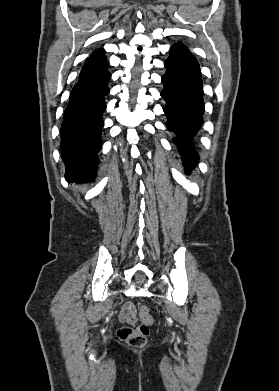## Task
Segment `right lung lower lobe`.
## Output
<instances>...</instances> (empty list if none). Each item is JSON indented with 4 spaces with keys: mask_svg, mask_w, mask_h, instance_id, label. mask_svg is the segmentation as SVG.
Listing matches in <instances>:
<instances>
[{
    "mask_svg": "<svg viewBox=\"0 0 279 391\" xmlns=\"http://www.w3.org/2000/svg\"><path fill=\"white\" fill-rule=\"evenodd\" d=\"M110 77L106 71L80 79L72 89L60 129L65 178L69 182L83 183L95 176Z\"/></svg>",
    "mask_w": 279,
    "mask_h": 391,
    "instance_id": "obj_1",
    "label": "right lung lower lobe"
}]
</instances>
